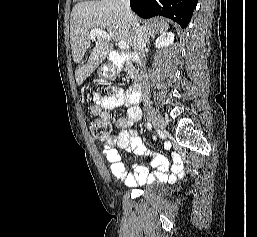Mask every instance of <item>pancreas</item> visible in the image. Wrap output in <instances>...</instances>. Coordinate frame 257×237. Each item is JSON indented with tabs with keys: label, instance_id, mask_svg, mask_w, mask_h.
<instances>
[{
	"label": "pancreas",
	"instance_id": "1",
	"mask_svg": "<svg viewBox=\"0 0 257 237\" xmlns=\"http://www.w3.org/2000/svg\"><path fill=\"white\" fill-rule=\"evenodd\" d=\"M126 70L128 71V76L130 79H134L136 77V70L132 63L126 64Z\"/></svg>",
	"mask_w": 257,
	"mask_h": 237
}]
</instances>
